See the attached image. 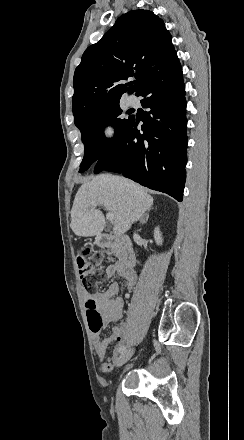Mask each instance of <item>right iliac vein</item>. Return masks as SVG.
I'll use <instances>...</instances> for the list:
<instances>
[{"label":"right iliac vein","instance_id":"right-iliac-vein-1","mask_svg":"<svg viewBox=\"0 0 244 440\" xmlns=\"http://www.w3.org/2000/svg\"><path fill=\"white\" fill-rule=\"evenodd\" d=\"M134 353V350H126L124 351L117 359L116 364L118 367H121L124 365L127 361L130 360Z\"/></svg>","mask_w":244,"mask_h":440}]
</instances>
